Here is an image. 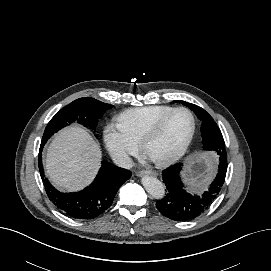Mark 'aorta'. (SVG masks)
<instances>
[{
    "instance_id": "aorta-1",
    "label": "aorta",
    "mask_w": 271,
    "mask_h": 271,
    "mask_svg": "<svg viewBox=\"0 0 271 271\" xmlns=\"http://www.w3.org/2000/svg\"><path fill=\"white\" fill-rule=\"evenodd\" d=\"M142 184L146 191L155 199H162L165 195V187L163 183L153 176H144Z\"/></svg>"
}]
</instances>
